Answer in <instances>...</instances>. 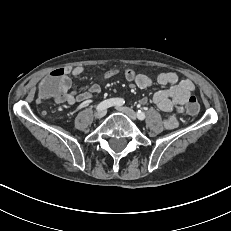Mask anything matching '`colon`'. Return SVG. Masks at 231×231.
I'll list each match as a JSON object with an SVG mask.
<instances>
[{
	"label": "colon",
	"mask_w": 231,
	"mask_h": 231,
	"mask_svg": "<svg viewBox=\"0 0 231 231\" xmlns=\"http://www.w3.org/2000/svg\"><path fill=\"white\" fill-rule=\"evenodd\" d=\"M118 73L117 69L109 70L106 75L111 77ZM64 77V72L61 68L52 71L41 81V86L37 89V94L43 98H52L54 100L61 97V91L58 87ZM124 77L128 81H133L137 77V72L133 68H128L124 71ZM148 78V77H147ZM149 79V78H148ZM187 105L183 109V114L186 117H195L198 114L199 101L197 96L190 95L186 100Z\"/></svg>",
	"instance_id": "colon-1"
}]
</instances>
